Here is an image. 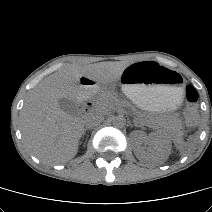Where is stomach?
<instances>
[{
    "label": "stomach",
    "instance_id": "0dacf381",
    "mask_svg": "<svg viewBox=\"0 0 212 212\" xmlns=\"http://www.w3.org/2000/svg\"><path fill=\"white\" fill-rule=\"evenodd\" d=\"M123 93L140 109L149 112L177 108L183 98L178 75L154 61L128 65L121 77Z\"/></svg>",
    "mask_w": 212,
    "mask_h": 212
}]
</instances>
